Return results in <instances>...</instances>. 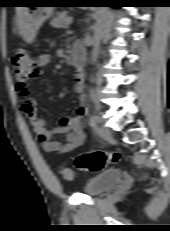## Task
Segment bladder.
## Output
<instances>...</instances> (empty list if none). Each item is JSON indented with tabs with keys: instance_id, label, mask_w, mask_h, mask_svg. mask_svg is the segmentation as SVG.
I'll return each mask as SVG.
<instances>
[{
	"instance_id": "obj_1",
	"label": "bladder",
	"mask_w": 170,
	"mask_h": 231,
	"mask_svg": "<svg viewBox=\"0 0 170 231\" xmlns=\"http://www.w3.org/2000/svg\"><path fill=\"white\" fill-rule=\"evenodd\" d=\"M122 172L119 169H110L94 176L84 186V192L90 196H97L110 190L122 179Z\"/></svg>"
}]
</instances>
